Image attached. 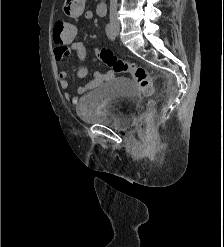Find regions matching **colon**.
Returning <instances> with one entry per match:
<instances>
[{"label":"colon","mask_w":224,"mask_h":247,"mask_svg":"<svg viewBox=\"0 0 224 247\" xmlns=\"http://www.w3.org/2000/svg\"><path fill=\"white\" fill-rule=\"evenodd\" d=\"M77 36V28L70 22L65 20H58L54 24L53 37L54 40L60 42L73 41ZM96 55L105 65L113 69L116 73L130 74L132 79L136 82L140 90L145 96H151L154 91L153 81L147 71L132 62L125 61L118 58L110 49H98ZM151 111L148 110L143 118L137 124L139 132H145L149 125Z\"/></svg>","instance_id":"obj_1"}]
</instances>
